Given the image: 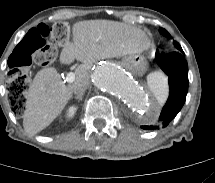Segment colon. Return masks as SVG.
I'll list each match as a JSON object with an SVG mask.
<instances>
[{
	"instance_id": "5ec220e1",
	"label": "colon",
	"mask_w": 215,
	"mask_h": 183,
	"mask_svg": "<svg viewBox=\"0 0 215 183\" xmlns=\"http://www.w3.org/2000/svg\"><path fill=\"white\" fill-rule=\"evenodd\" d=\"M69 35V27L58 22L52 27L46 22H37L33 29L26 33L24 39L18 41L6 58L8 73V99L16 114L24 112L26 92L29 88L27 66L32 63L46 67L56 59V49L50 44L53 40L64 43Z\"/></svg>"
}]
</instances>
